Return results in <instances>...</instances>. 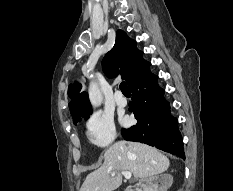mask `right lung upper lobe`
I'll return each mask as SVG.
<instances>
[{"label":"right lung upper lobe","mask_w":233,"mask_h":191,"mask_svg":"<svg viewBox=\"0 0 233 191\" xmlns=\"http://www.w3.org/2000/svg\"><path fill=\"white\" fill-rule=\"evenodd\" d=\"M143 52L138 50L136 42L130 39L122 30H118L114 47L105 55L102 67L108 77L121 74L122 79L130 82L134 74L144 63ZM71 99L69 109L72 116L83 111L91 110L86 92H81L79 83L71 84L68 88Z\"/></svg>","instance_id":"cb5924a9"}]
</instances>
